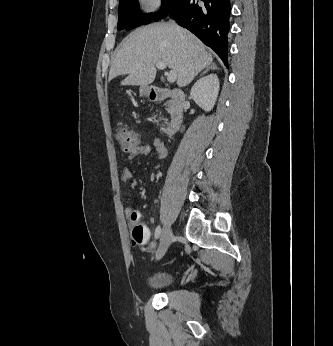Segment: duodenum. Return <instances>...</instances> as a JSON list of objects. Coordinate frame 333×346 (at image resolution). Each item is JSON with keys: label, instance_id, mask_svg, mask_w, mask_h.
<instances>
[{"label": "duodenum", "instance_id": "duodenum-1", "mask_svg": "<svg viewBox=\"0 0 333 346\" xmlns=\"http://www.w3.org/2000/svg\"><path fill=\"white\" fill-rule=\"evenodd\" d=\"M149 98L154 102L169 100L170 121L163 132L166 136L176 133L184 118L186 101L184 92L180 89H166L154 86L150 89Z\"/></svg>", "mask_w": 333, "mask_h": 346}]
</instances>
